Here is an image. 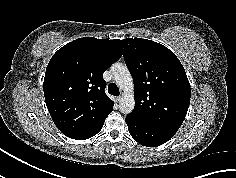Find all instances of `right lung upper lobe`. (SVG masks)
<instances>
[{"label": "right lung upper lobe", "mask_w": 236, "mask_h": 178, "mask_svg": "<svg viewBox=\"0 0 236 178\" xmlns=\"http://www.w3.org/2000/svg\"><path fill=\"white\" fill-rule=\"evenodd\" d=\"M123 54L121 40L84 37L60 48L44 78V96L56 127L67 137L96 135L114 102L104 92L103 73Z\"/></svg>", "instance_id": "cb5924a9"}]
</instances>
